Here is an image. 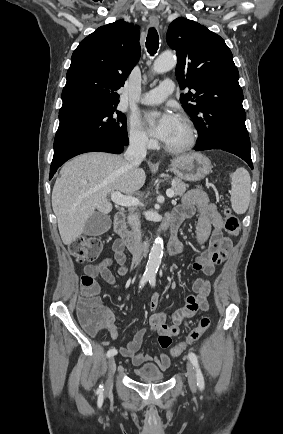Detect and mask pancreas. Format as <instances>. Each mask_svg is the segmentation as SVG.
Instances as JSON below:
<instances>
[{
	"instance_id": "pancreas-1",
	"label": "pancreas",
	"mask_w": 283,
	"mask_h": 434,
	"mask_svg": "<svg viewBox=\"0 0 283 434\" xmlns=\"http://www.w3.org/2000/svg\"><path fill=\"white\" fill-rule=\"evenodd\" d=\"M189 185L185 184L178 178L172 180V189L177 196H183Z\"/></svg>"
}]
</instances>
